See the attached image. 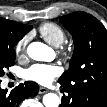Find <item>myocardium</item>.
Here are the masks:
<instances>
[{"mask_svg":"<svg viewBox=\"0 0 107 107\" xmlns=\"http://www.w3.org/2000/svg\"><path fill=\"white\" fill-rule=\"evenodd\" d=\"M61 54H62L64 57H67V55H68V53H67V51H66L65 49H63V50L61 51Z\"/></svg>","mask_w":107,"mask_h":107,"instance_id":"f54148a6","label":"myocardium"}]
</instances>
